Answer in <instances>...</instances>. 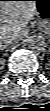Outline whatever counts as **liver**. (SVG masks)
<instances>
[{
    "instance_id": "liver-1",
    "label": "liver",
    "mask_w": 50,
    "mask_h": 111,
    "mask_svg": "<svg viewBox=\"0 0 50 111\" xmlns=\"http://www.w3.org/2000/svg\"><path fill=\"white\" fill-rule=\"evenodd\" d=\"M1 24L0 40L4 35L26 36L28 30L25 27L36 15V2L32 0H7L1 1Z\"/></svg>"
}]
</instances>
